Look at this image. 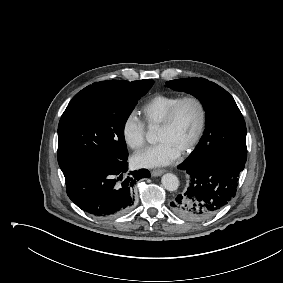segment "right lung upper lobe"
<instances>
[{"label": "right lung upper lobe", "instance_id": "obj_1", "mask_svg": "<svg viewBox=\"0 0 283 283\" xmlns=\"http://www.w3.org/2000/svg\"><path fill=\"white\" fill-rule=\"evenodd\" d=\"M121 83H130V82L124 81V80H110V81H103V82L94 83V84L89 85L87 87L108 88V87H111L113 85H117V84H121Z\"/></svg>", "mask_w": 283, "mask_h": 283}]
</instances>
